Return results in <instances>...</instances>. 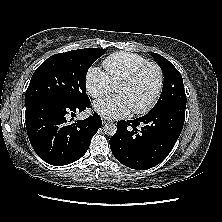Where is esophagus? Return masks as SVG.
Returning <instances> with one entry per match:
<instances>
[{
  "label": "esophagus",
  "instance_id": "1",
  "mask_svg": "<svg viewBox=\"0 0 222 222\" xmlns=\"http://www.w3.org/2000/svg\"><path fill=\"white\" fill-rule=\"evenodd\" d=\"M110 121L106 120V119H103L102 120V123L105 125V124H108Z\"/></svg>",
  "mask_w": 222,
  "mask_h": 222
}]
</instances>
